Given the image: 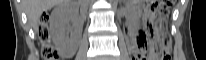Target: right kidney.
Here are the masks:
<instances>
[{
	"label": "right kidney",
	"instance_id": "ca27d5eb",
	"mask_svg": "<svg viewBox=\"0 0 206 60\" xmlns=\"http://www.w3.org/2000/svg\"><path fill=\"white\" fill-rule=\"evenodd\" d=\"M51 27L54 43L59 49H69L76 46L81 32V24L76 18V8L72 3L61 4L53 10ZM69 31L73 32L72 37H69Z\"/></svg>",
	"mask_w": 206,
	"mask_h": 60
}]
</instances>
